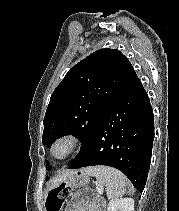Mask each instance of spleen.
I'll return each instance as SVG.
<instances>
[{
    "instance_id": "spleen-1",
    "label": "spleen",
    "mask_w": 179,
    "mask_h": 211,
    "mask_svg": "<svg viewBox=\"0 0 179 211\" xmlns=\"http://www.w3.org/2000/svg\"><path fill=\"white\" fill-rule=\"evenodd\" d=\"M86 176L95 177L98 186L106 187V195L109 199L122 197L126 190V178L119 170L108 166H92L84 169Z\"/></svg>"
}]
</instances>
